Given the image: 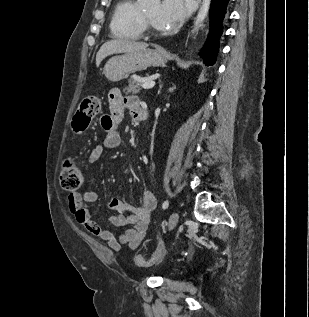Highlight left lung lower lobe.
Listing matches in <instances>:
<instances>
[{"label": "left lung lower lobe", "mask_w": 309, "mask_h": 317, "mask_svg": "<svg viewBox=\"0 0 309 317\" xmlns=\"http://www.w3.org/2000/svg\"><path fill=\"white\" fill-rule=\"evenodd\" d=\"M229 2L230 0H212L211 2L210 30L207 40L199 52L206 66L214 65L216 62L219 39L223 33V24L228 16Z\"/></svg>", "instance_id": "left-lung-lower-lobe-1"}]
</instances>
